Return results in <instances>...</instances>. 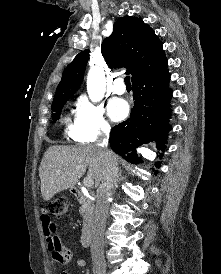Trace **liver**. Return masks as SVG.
I'll use <instances>...</instances> for the list:
<instances>
[{"label": "liver", "mask_w": 221, "mask_h": 274, "mask_svg": "<svg viewBox=\"0 0 221 274\" xmlns=\"http://www.w3.org/2000/svg\"><path fill=\"white\" fill-rule=\"evenodd\" d=\"M87 168V177L95 181L96 187L99 186L105 164L98 146H50L39 168L43 199L49 201L57 193L73 188Z\"/></svg>", "instance_id": "liver-1"}]
</instances>
